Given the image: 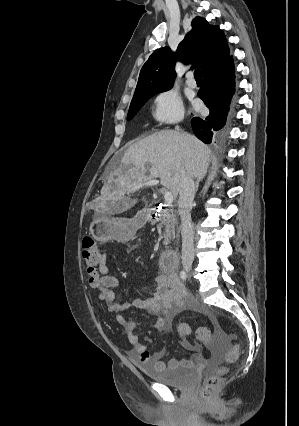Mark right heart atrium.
<instances>
[{"label": "right heart atrium", "mask_w": 299, "mask_h": 426, "mask_svg": "<svg viewBox=\"0 0 299 426\" xmlns=\"http://www.w3.org/2000/svg\"><path fill=\"white\" fill-rule=\"evenodd\" d=\"M184 107L174 89H166L155 95L152 106L153 119L162 125L178 123L183 119Z\"/></svg>", "instance_id": "right-heart-atrium-1"}]
</instances>
